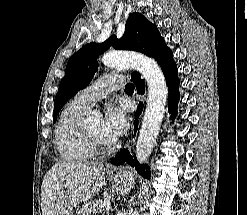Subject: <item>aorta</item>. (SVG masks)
<instances>
[{
  "mask_svg": "<svg viewBox=\"0 0 247 215\" xmlns=\"http://www.w3.org/2000/svg\"><path fill=\"white\" fill-rule=\"evenodd\" d=\"M102 62L118 69H136L146 80L148 100L136 142V157L139 163L143 164L151 155L164 117L168 89L163 72L154 59L133 52H108L103 55ZM99 116L97 111L92 113L94 119ZM131 215L139 214L135 209Z\"/></svg>",
  "mask_w": 247,
  "mask_h": 215,
  "instance_id": "1",
  "label": "aorta"
}]
</instances>
